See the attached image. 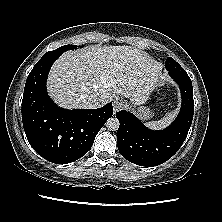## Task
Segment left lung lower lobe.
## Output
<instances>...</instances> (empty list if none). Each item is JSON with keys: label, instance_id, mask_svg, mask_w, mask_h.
<instances>
[{"label": "left lung lower lobe", "instance_id": "obj_1", "mask_svg": "<svg viewBox=\"0 0 222 222\" xmlns=\"http://www.w3.org/2000/svg\"><path fill=\"white\" fill-rule=\"evenodd\" d=\"M169 74L180 87L182 104L177 118L166 129H148L126 110L116 113L120 122L118 150L125 159L137 165L156 166L170 159L179 150L190 129L194 114L191 79L184 69L170 70Z\"/></svg>", "mask_w": 222, "mask_h": 222}]
</instances>
